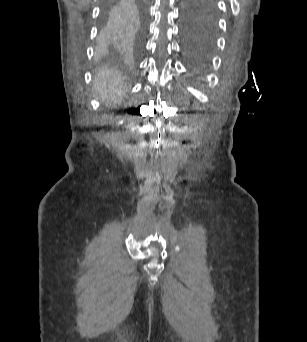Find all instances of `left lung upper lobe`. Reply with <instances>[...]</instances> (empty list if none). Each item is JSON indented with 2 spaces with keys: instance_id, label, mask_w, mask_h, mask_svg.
<instances>
[{
  "instance_id": "obj_1",
  "label": "left lung upper lobe",
  "mask_w": 307,
  "mask_h": 342,
  "mask_svg": "<svg viewBox=\"0 0 307 342\" xmlns=\"http://www.w3.org/2000/svg\"><path fill=\"white\" fill-rule=\"evenodd\" d=\"M214 0H184L183 37L190 53L203 54L215 43L217 16Z\"/></svg>"
}]
</instances>
